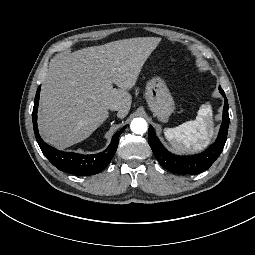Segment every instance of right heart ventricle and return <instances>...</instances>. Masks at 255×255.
<instances>
[{
	"mask_svg": "<svg viewBox=\"0 0 255 255\" xmlns=\"http://www.w3.org/2000/svg\"><path fill=\"white\" fill-rule=\"evenodd\" d=\"M112 56V55H109ZM158 86L153 90H157L159 94L163 97L166 105H169V92L164 84L158 82ZM146 99L139 98L136 100L134 106H131V120H135L138 114V111L146 107ZM124 129V124L119 122L118 120H113L110 123L104 124L102 128V135H116Z\"/></svg>",
	"mask_w": 255,
	"mask_h": 255,
	"instance_id": "1",
	"label": "right heart ventricle"
}]
</instances>
